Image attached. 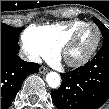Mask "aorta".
<instances>
[{"instance_id": "762f6f07", "label": "aorta", "mask_w": 109, "mask_h": 109, "mask_svg": "<svg viewBox=\"0 0 109 109\" xmlns=\"http://www.w3.org/2000/svg\"><path fill=\"white\" fill-rule=\"evenodd\" d=\"M46 81L51 88H58L61 84V77L56 72H50L46 76Z\"/></svg>"}]
</instances>
